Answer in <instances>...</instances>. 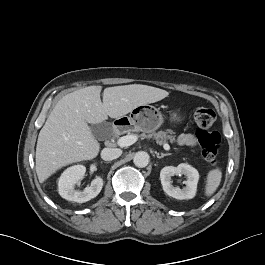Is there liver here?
<instances>
[{
	"instance_id": "liver-1",
	"label": "liver",
	"mask_w": 265,
	"mask_h": 265,
	"mask_svg": "<svg viewBox=\"0 0 265 265\" xmlns=\"http://www.w3.org/2000/svg\"><path fill=\"white\" fill-rule=\"evenodd\" d=\"M88 86L62 97L41 129L36 146V173L43 183L60 168L95 158L100 144L88 123L99 124L108 116L122 117L135 107L158 102L169 95L163 89L132 84Z\"/></svg>"
}]
</instances>
